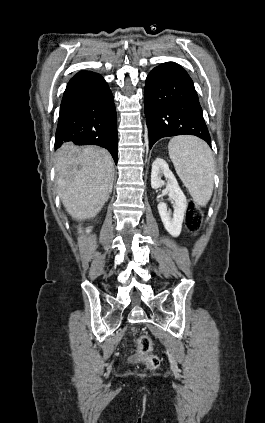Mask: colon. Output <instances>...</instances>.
I'll use <instances>...</instances> for the list:
<instances>
[{"instance_id":"5ec220e1","label":"colon","mask_w":265,"mask_h":423,"mask_svg":"<svg viewBox=\"0 0 265 423\" xmlns=\"http://www.w3.org/2000/svg\"><path fill=\"white\" fill-rule=\"evenodd\" d=\"M187 229L189 232L196 234L202 226V213L194 202H188L186 214ZM139 355L144 358L149 368H156L159 365V358L155 355H148L152 349V342L149 336L143 334L138 339Z\"/></svg>"}]
</instances>
